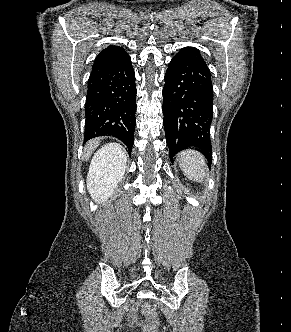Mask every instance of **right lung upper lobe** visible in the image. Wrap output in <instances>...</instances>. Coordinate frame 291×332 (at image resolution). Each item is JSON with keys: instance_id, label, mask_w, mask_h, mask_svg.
I'll list each match as a JSON object with an SVG mask.
<instances>
[{"instance_id": "1", "label": "right lung upper lobe", "mask_w": 291, "mask_h": 332, "mask_svg": "<svg viewBox=\"0 0 291 332\" xmlns=\"http://www.w3.org/2000/svg\"><path fill=\"white\" fill-rule=\"evenodd\" d=\"M126 57H128V54L122 47L110 45L97 55L94 65L116 62L125 59Z\"/></svg>"}]
</instances>
